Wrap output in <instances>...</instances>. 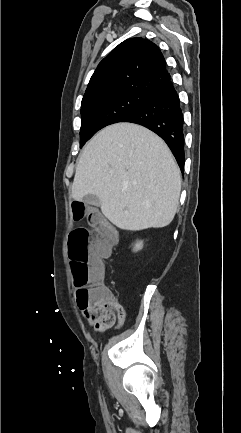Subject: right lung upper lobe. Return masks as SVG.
I'll return each instance as SVG.
<instances>
[{
  "mask_svg": "<svg viewBox=\"0 0 241 433\" xmlns=\"http://www.w3.org/2000/svg\"><path fill=\"white\" fill-rule=\"evenodd\" d=\"M165 64L153 42L140 37L127 39L99 63L82 102L122 92L148 94L171 79ZM180 150L184 153V145Z\"/></svg>",
  "mask_w": 241,
  "mask_h": 433,
  "instance_id": "obj_1",
  "label": "right lung upper lobe"
}]
</instances>
